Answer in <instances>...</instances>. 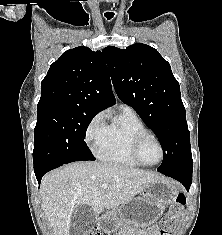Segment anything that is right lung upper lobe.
<instances>
[{
	"mask_svg": "<svg viewBox=\"0 0 222 235\" xmlns=\"http://www.w3.org/2000/svg\"><path fill=\"white\" fill-rule=\"evenodd\" d=\"M113 104L115 97L102 53L79 46L51 64L42 80L38 113L55 107L100 112Z\"/></svg>",
	"mask_w": 222,
	"mask_h": 235,
	"instance_id": "right-lung-upper-lobe-1",
	"label": "right lung upper lobe"
}]
</instances>
